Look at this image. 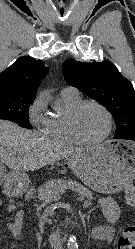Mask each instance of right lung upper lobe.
Listing matches in <instances>:
<instances>
[{
	"mask_svg": "<svg viewBox=\"0 0 135 249\" xmlns=\"http://www.w3.org/2000/svg\"><path fill=\"white\" fill-rule=\"evenodd\" d=\"M44 65L41 60L29 56L20 57L0 73V94L35 97L41 80L48 72Z\"/></svg>",
	"mask_w": 135,
	"mask_h": 249,
	"instance_id": "right-lung-upper-lobe-1",
	"label": "right lung upper lobe"
}]
</instances>
